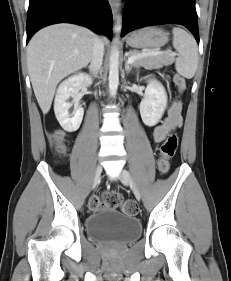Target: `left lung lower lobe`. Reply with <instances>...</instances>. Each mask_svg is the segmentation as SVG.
Here are the masks:
<instances>
[{"label":"left lung lower lobe","mask_w":231,"mask_h":281,"mask_svg":"<svg viewBox=\"0 0 231 281\" xmlns=\"http://www.w3.org/2000/svg\"><path fill=\"white\" fill-rule=\"evenodd\" d=\"M166 23L183 25L199 44L195 0H126L123 35L141 27Z\"/></svg>","instance_id":"0a47b994"}]
</instances>
